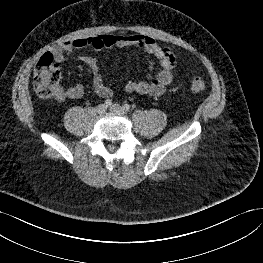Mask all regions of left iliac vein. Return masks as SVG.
I'll use <instances>...</instances> for the list:
<instances>
[{
  "instance_id": "obj_1",
  "label": "left iliac vein",
  "mask_w": 263,
  "mask_h": 263,
  "mask_svg": "<svg viewBox=\"0 0 263 263\" xmlns=\"http://www.w3.org/2000/svg\"><path fill=\"white\" fill-rule=\"evenodd\" d=\"M109 109L111 112L116 114H125V110L119 104H113Z\"/></svg>"
}]
</instances>
